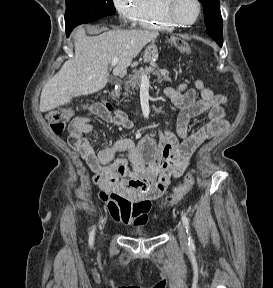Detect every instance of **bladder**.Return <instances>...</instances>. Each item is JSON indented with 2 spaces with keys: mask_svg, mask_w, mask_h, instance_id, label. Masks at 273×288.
Segmentation results:
<instances>
[{
  "mask_svg": "<svg viewBox=\"0 0 273 288\" xmlns=\"http://www.w3.org/2000/svg\"><path fill=\"white\" fill-rule=\"evenodd\" d=\"M135 235H142V233L141 232H136Z\"/></svg>",
  "mask_w": 273,
  "mask_h": 288,
  "instance_id": "1",
  "label": "bladder"
}]
</instances>
